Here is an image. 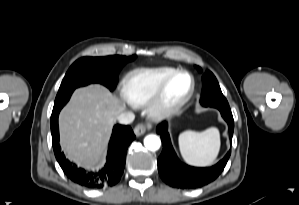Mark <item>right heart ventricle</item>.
<instances>
[{"instance_id":"right-heart-ventricle-1","label":"right heart ventricle","mask_w":299,"mask_h":205,"mask_svg":"<svg viewBox=\"0 0 299 205\" xmlns=\"http://www.w3.org/2000/svg\"><path fill=\"white\" fill-rule=\"evenodd\" d=\"M175 71L172 67L137 68L130 71L121 82L122 99L134 107L144 106L162 82Z\"/></svg>"}]
</instances>
